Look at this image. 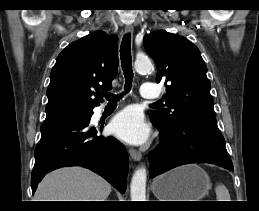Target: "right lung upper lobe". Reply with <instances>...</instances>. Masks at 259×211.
I'll return each mask as SVG.
<instances>
[{"label": "right lung upper lobe", "instance_id": "1", "mask_svg": "<svg viewBox=\"0 0 259 211\" xmlns=\"http://www.w3.org/2000/svg\"><path fill=\"white\" fill-rule=\"evenodd\" d=\"M117 40L95 31L59 54L50 74L45 121L90 113L99 105L102 98L95 93L111 89L117 74Z\"/></svg>", "mask_w": 259, "mask_h": 211}]
</instances>
